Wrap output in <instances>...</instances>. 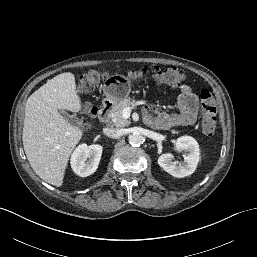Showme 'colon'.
<instances>
[{"label": "colon", "mask_w": 257, "mask_h": 257, "mask_svg": "<svg viewBox=\"0 0 257 257\" xmlns=\"http://www.w3.org/2000/svg\"><path fill=\"white\" fill-rule=\"evenodd\" d=\"M107 77L106 73L97 70H90L79 77V88L84 92H91L96 85ZM128 77L132 81H141L145 77H150L159 84H168L172 86L180 85L186 75L177 68H153L133 70L129 72ZM201 102V128L204 134L211 136L216 129V104L212 93L207 88H202L199 91ZM85 112L93 117L96 114V109L91 106L85 108Z\"/></svg>", "instance_id": "5ec220e1"}]
</instances>
